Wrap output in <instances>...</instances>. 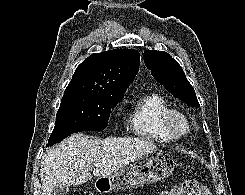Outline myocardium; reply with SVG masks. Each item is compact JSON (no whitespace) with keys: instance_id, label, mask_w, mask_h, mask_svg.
Segmentation results:
<instances>
[{"instance_id":"f54148a6","label":"myocardium","mask_w":245,"mask_h":195,"mask_svg":"<svg viewBox=\"0 0 245 195\" xmlns=\"http://www.w3.org/2000/svg\"><path fill=\"white\" fill-rule=\"evenodd\" d=\"M181 120L185 124V129L180 131L176 128L175 122ZM161 125L163 130L172 139H180L189 134L191 130L190 120L186 114L176 109H169L161 118Z\"/></svg>"}]
</instances>
